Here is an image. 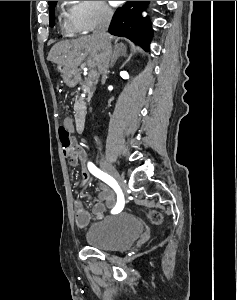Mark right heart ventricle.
<instances>
[{
  "label": "right heart ventricle",
  "instance_id": "right-heart-ventricle-1",
  "mask_svg": "<svg viewBox=\"0 0 237 300\" xmlns=\"http://www.w3.org/2000/svg\"><path fill=\"white\" fill-rule=\"evenodd\" d=\"M63 27H64L65 31H67V32L72 31L67 18H64V20H63Z\"/></svg>",
  "mask_w": 237,
  "mask_h": 300
}]
</instances>
